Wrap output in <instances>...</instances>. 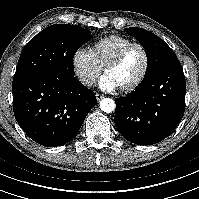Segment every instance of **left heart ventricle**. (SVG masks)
I'll use <instances>...</instances> for the list:
<instances>
[{"mask_svg":"<svg viewBox=\"0 0 199 199\" xmlns=\"http://www.w3.org/2000/svg\"><path fill=\"white\" fill-rule=\"evenodd\" d=\"M144 54L138 47H134L127 52L120 64L105 72L117 89L132 84L141 74L144 68Z\"/></svg>","mask_w":199,"mask_h":199,"instance_id":"left-heart-ventricle-1","label":"left heart ventricle"}]
</instances>
